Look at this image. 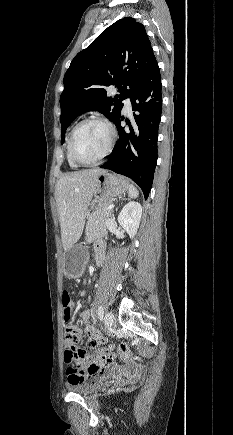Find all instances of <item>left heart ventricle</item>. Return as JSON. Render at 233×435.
Instances as JSON below:
<instances>
[{"label":"left heart ventricle","instance_id":"1","mask_svg":"<svg viewBox=\"0 0 233 435\" xmlns=\"http://www.w3.org/2000/svg\"><path fill=\"white\" fill-rule=\"evenodd\" d=\"M108 139V130L101 124L88 123L81 126L74 138L77 157L84 162L96 160L105 150Z\"/></svg>","mask_w":233,"mask_h":435}]
</instances>
